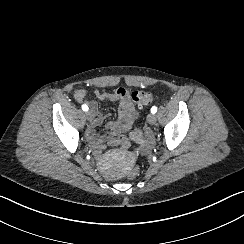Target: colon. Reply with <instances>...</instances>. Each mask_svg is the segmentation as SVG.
Instances as JSON below:
<instances>
[{"label": "colon", "mask_w": 244, "mask_h": 244, "mask_svg": "<svg viewBox=\"0 0 244 244\" xmlns=\"http://www.w3.org/2000/svg\"><path fill=\"white\" fill-rule=\"evenodd\" d=\"M127 90L123 87H119L110 93L111 98L116 99L118 96L126 95ZM131 99L139 106L150 105L154 101V95L149 91H134L131 93ZM129 138L134 141H141L144 138V133L141 129H134L129 133ZM116 142L120 143V147L123 150H128L131 147V142L125 139V135L122 132H117L113 139H108L105 142V147L108 150H113L116 147ZM142 174V169L139 166H134L128 171V177L131 180H136Z\"/></svg>", "instance_id": "colon-1"}]
</instances>
